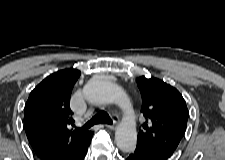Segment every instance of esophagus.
<instances>
[{
    "label": "esophagus",
    "mask_w": 225,
    "mask_h": 160,
    "mask_svg": "<svg viewBox=\"0 0 225 160\" xmlns=\"http://www.w3.org/2000/svg\"><path fill=\"white\" fill-rule=\"evenodd\" d=\"M118 117H116V120H114V124H105L104 126L106 127V128H108V129H115L116 128V126H117V124H118Z\"/></svg>",
    "instance_id": "obj_1"
}]
</instances>
